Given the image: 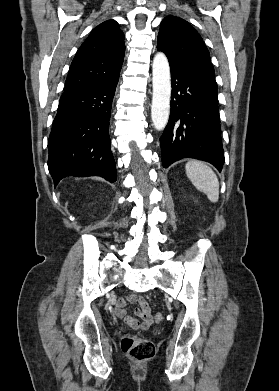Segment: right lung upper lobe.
Wrapping results in <instances>:
<instances>
[{"mask_svg": "<svg viewBox=\"0 0 279 391\" xmlns=\"http://www.w3.org/2000/svg\"><path fill=\"white\" fill-rule=\"evenodd\" d=\"M125 53L124 34L114 20L98 25L78 49L69 69L64 93L106 82L117 75Z\"/></svg>", "mask_w": 279, "mask_h": 391, "instance_id": "right-lung-upper-lobe-1", "label": "right lung upper lobe"}]
</instances>
